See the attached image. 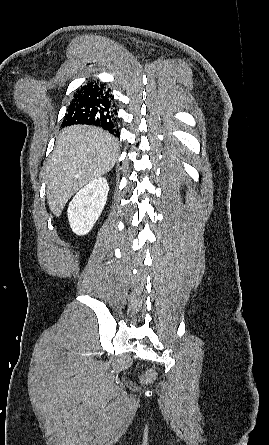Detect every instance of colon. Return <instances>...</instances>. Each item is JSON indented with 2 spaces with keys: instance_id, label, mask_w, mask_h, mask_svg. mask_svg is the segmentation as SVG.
Segmentation results:
<instances>
[{
  "instance_id": "obj_1",
  "label": "colon",
  "mask_w": 269,
  "mask_h": 445,
  "mask_svg": "<svg viewBox=\"0 0 269 445\" xmlns=\"http://www.w3.org/2000/svg\"><path fill=\"white\" fill-rule=\"evenodd\" d=\"M143 378H144L145 381H150V380H152L154 378V373L153 372H148V373H146L144 375Z\"/></svg>"
}]
</instances>
